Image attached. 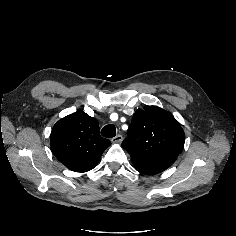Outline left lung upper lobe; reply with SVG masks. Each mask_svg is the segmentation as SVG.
<instances>
[{"instance_id":"1","label":"left lung upper lobe","mask_w":236,"mask_h":236,"mask_svg":"<svg viewBox=\"0 0 236 236\" xmlns=\"http://www.w3.org/2000/svg\"><path fill=\"white\" fill-rule=\"evenodd\" d=\"M184 142V131L171 113L157 106H145L133 115L122 147L137 171L156 175L175 162Z\"/></svg>"}]
</instances>
